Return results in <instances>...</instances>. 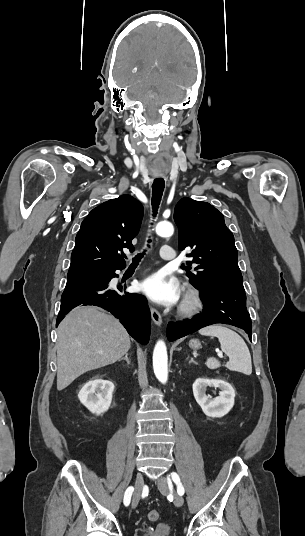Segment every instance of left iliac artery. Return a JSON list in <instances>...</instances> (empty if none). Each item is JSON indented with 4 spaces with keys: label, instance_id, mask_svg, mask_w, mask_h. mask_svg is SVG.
I'll use <instances>...</instances> for the list:
<instances>
[{
    "label": "left iliac artery",
    "instance_id": "obj_1",
    "mask_svg": "<svg viewBox=\"0 0 305 536\" xmlns=\"http://www.w3.org/2000/svg\"><path fill=\"white\" fill-rule=\"evenodd\" d=\"M171 478L173 480V482L177 485V492L179 495H183L184 494V487L182 486L181 482H180V478L178 476L177 473L173 472L171 473ZM168 479V484L170 482V475L167 477Z\"/></svg>",
    "mask_w": 305,
    "mask_h": 536
}]
</instances>
